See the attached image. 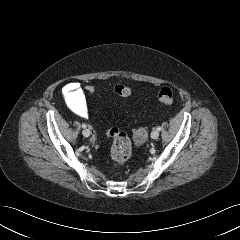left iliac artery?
I'll use <instances>...</instances> for the list:
<instances>
[{
	"instance_id": "1",
	"label": "left iliac artery",
	"mask_w": 240,
	"mask_h": 240,
	"mask_svg": "<svg viewBox=\"0 0 240 240\" xmlns=\"http://www.w3.org/2000/svg\"><path fill=\"white\" fill-rule=\"evenodd\" d=\"M161 129H162V128H161L160 126L157 127V131H161Z\"/></svg>"
}]
</instances>
